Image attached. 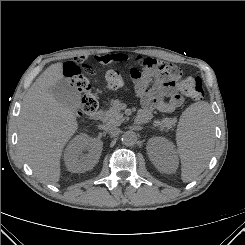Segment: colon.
<instances>
[{
  "label": "colon",
  "instance_id": "colon-1",
  "mask_svg": "<svg viewBox=\"0 0 245 245\" xmlns=\"http://www.w3.org/2000/svg\"><path fill=\"white\" fill-rule=\"evenodd\" d=\"M87 73L94 74L95 70L89 65H85L81 58L68 62L64 66V77L81 93V104L79 115L92 114L97 110L98 102L91 92V85L87 77L82 73L81 68ZM136 70L131 69V74H136ZM152 79H163L176 84L181 93L192 100H200L204 96L202 80L199 77L183 78L182 71L175 65L156 62L152 72ZM124 85V78L117 70H109L105 74V87L108 90H116Z\"/></svg>",
  "mask_w": 245,
  "mask_h": 245
}]
</instances>
